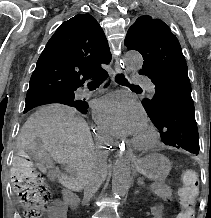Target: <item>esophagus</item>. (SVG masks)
Instances as JSON below:
<instances>
[{"label":"esophagus","instance_id":"34e87169","mask_svg":"<svg viewBox=\"0 0 211 218\" xmlns=\"http://www.w3.org/2000/svg\"><path fill=\"white\" fill-rule=\"evenodd\" d=\"M115 70L117 73H124L126 72L125 67L122 65L120 59H116L115 60ZM130 138L128 136H126L124 138V136H118L117 138V144H126V142L129 140ZM114 150H118V153H125V159L127 160H132L133 156L132 153L130 152L129 148H126L125 145H114L113 146Z\"/></svg>","mask_w":211,"mask_h":218}]
</instances>
